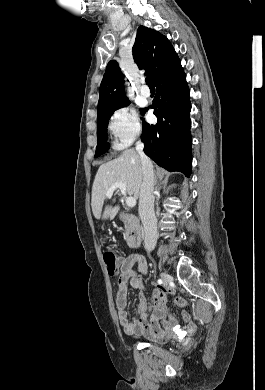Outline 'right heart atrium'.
I'll use <instances>...</instances> for the list:
<instances>
[{"instance_id": "obj_1", "label": "right heart atrium", "mask_w": 265, "mask_h": 390, "mask_svg": "<svg viewBox=\"0 0 265 390\" xmlns=\"http://www.w3.org/2000/svg\"><path fill=\"white\" fill-rule=\"evenodd\" d=\"M108 128L114 138V145L123 149L141 133L138 113L132 107L121 106L111 114Z\"/></svg>"}]
</instances>
